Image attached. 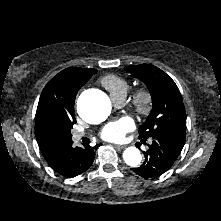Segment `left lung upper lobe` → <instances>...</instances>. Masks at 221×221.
Returning a JSON list of instances; mask_svg holds the SVG:
<instances>
[{"instance_id": "1", "label": "left lung upper lobe", "mask_w": 221, "mask_h": 221, "mask_svg": "<svg viewBox=\"0 0 221 221\" xmlns=\"http://www.w3.org/2000/svg\"><path fill=\"white\" fill-rule=\"evenodd\" d=\"M125 70L148 87L153 109L139 128V138L148 139L160 133H186V112L175 82L161 69L150 64L126 66Z\"/></svg>"}]
</instances>
